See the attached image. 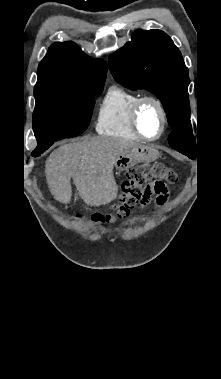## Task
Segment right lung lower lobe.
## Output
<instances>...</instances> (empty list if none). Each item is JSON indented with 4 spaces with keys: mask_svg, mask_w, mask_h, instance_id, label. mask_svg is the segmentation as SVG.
I'll return each instance as SVG.
<instances>
[{
    "mask_svg": "<svg viewBox=\"0 0 221 379\" xmlns=\"http://www.w3.org/2000/svg\"><path fill=\"white\" fill-rule=\"evenodd\" d=\"M45 150H46V148L35 149V150L33 151V153H32V156L37 157V156H39L41 153H43Z\"/></svg>",
    "mask_w": 221,
    "mask_h": 379,
    "instance_id": "1",
    "label": "right lung lower lobe"
}]
</instances>
